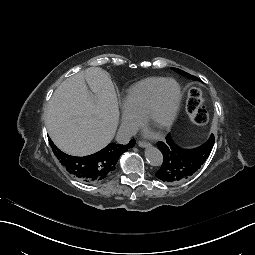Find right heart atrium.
Wrapping results in <instances>:
<instances>
[{
    "mask_svg": "<svg viewBox=\"0 0 255 255\" xmlns=\"http://www.w3.org/2000/svg\"><path fill=\"white\" fill-rule=\"evenodd\" d=\"M121 127L125 134H132L137 128L136 119L123 111L121 113Z\"/></svg>",
    "mask_w": 255,
    "mask_h": 255,
    "instance_id": "obj_1",
    "label": "right heart atrium"
}]
</instances>
